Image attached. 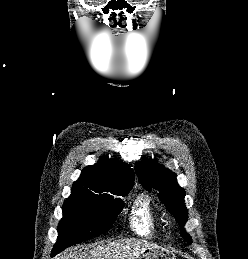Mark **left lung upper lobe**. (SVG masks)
<instances>
[{
    "mask_svg": "<svg viewBox=\"0 0 248 259\" xmlns=\"http://www.w3.org/2000/svg\"><path fill=\"white\" fill-rule=\"evenodd\" d=\"M140 183L148 191H159V199L164 203L177 222L184 226L187 221V209L184 204L185 191L176 182V174L151 161L138 162L135 165ZM181 236L188 244L191 237L181 229Z\"/></svg>",
    "mask_w": 248,
    "mask_h": 259,
    "instance_id": "left-lung-upper-lobe-1",
    "label": "left lung upper lobe"
}]
</instances>
